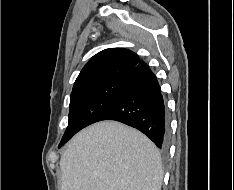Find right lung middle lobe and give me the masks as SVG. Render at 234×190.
<instances>
[{
    "label": "right lung middle lobe",
    "instance_id": "obj_1",
    "mask_svg": "<svg viewBox=\"0 0 234 190\" xmlns=\"http://www.w3.org/2000/svg\"><path fill=\"white\" fill-rule=\"evenodd\" d=\"M123 81L115 79L71 94L69 123L59 148L78 131L99 121L115 102Z\"/></svg>",
    "mask_w": 234,
    "mask_h": 190
}]
</instances>
